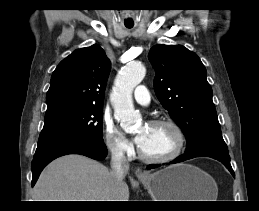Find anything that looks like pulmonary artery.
<instances>
[{
    "label": "pulmonary artery",
    "mask_w": 259,
    "mask_h": 211,
    "mask_svg": "<svg viewBox=\"0 0 259 211\" xmlns=\"http://www.w3.org/2000/svg\"><path fill=\"white\" fill-rule=\"evenodd\" d=\"M135 100L142 105H147L150 102V96L145 86L139 85L134 91Z\"/></svg>",
    "instance_id": "obj_1"
}]
</instances>
